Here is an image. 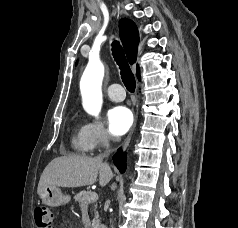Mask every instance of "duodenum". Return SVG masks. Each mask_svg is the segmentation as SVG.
<instances>
[{
  "label": "duodenum",
  "mask_w": 238,
  "mask_h": 228,
  "mask_svg": "<svg viewBox=\"0 0 238 228\" xmlns=\"http://www.w3.org/2000/svg\"><path fill=\"white\" fill-rule=\"evenodd\" d=\"M98 228H106L105 226H103V225H100Z\"/></svg>",
  "instance_id": "1"
}]
</instances>
